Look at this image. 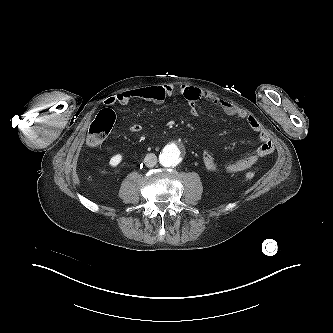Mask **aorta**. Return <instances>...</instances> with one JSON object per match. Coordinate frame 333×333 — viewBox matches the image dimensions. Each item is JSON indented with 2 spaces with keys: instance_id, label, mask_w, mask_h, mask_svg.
Returning a JSON list of instances; mask_svg holds the SVG:
<instances>
[{
  "instance_id": "1",
  "label": "aorta",
  "mask_w": 333,
  "mask_h": 333,
  "mask_svg": "<svg viewBox=\"0 0 333 333\" xmlns=\"http://www.w3.org/2000/svg\"><path fill=\"white\" fill-rule=\"evenodd\" d=\"M182 152V147L178 145L164 148L159 156L161 165L164 167L177 166L180 163V157Z\"/></svg>"
}]
</instances>
